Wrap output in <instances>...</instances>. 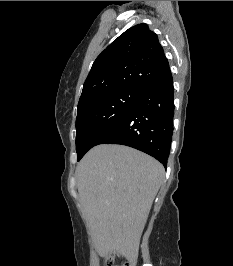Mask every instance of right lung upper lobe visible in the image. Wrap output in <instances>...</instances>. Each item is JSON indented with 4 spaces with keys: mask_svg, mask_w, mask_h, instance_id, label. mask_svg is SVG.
<instances>
[{
    "mask_svg": "<svg viewBox=\"0 0 233 266\" xmlns=\"http://www.w3.org/2000/svg\"><path fill=\"white\" fill-rule=\"evenodd\" d=\"M169 70L157 35L147 24L135 25L97 57L84 83L79 103L115 90L143 91Z\"/></svg>",
    "mask_w": 233,
    "mask_h": 266,
    "instance_id": "cb5924a9",
    "label": "right lung upper lobe"
}]
</instances>
